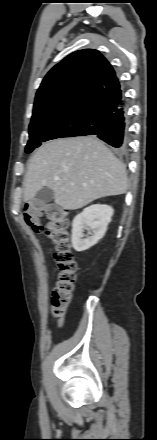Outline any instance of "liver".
Here are the masks:
<instances>
[{
    "mask_svg": "<svg viewBox=\"0 0 157 440\" xmlns=\"http://www.w3.org/2000/svg\"><path fill=\"white\" fill-rule=\"evenodd\" d=\"M126 167L95 137H75L47 142L30 158L24 177V200L44 187L54 192L63 209H80L92 201L124 194Z\"/></svg>",
    "mask_w": 157,
    "mask_h": 440,
    "instance_id": "1",
    "label": "liver"
}]
</instances>
